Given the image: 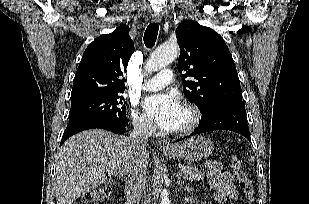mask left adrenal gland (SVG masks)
I'll return each instance as SVG.
<instances>
[{
	"label": "left adrenal gland",
	"mask_w": 309,
	"mask_h": 204,
	"mask_svg": "<svg viewBox=\"0 0 309 204\" xmlns=\"http://www.w3.org/2000/svg\"><path fill=\"white\" fill-rule=\"evenodd\" d=\"M177 183L180 187H182L183 181H181L179 176L177 178ZM185 190H187L188 192L192 191V189L188 185H186Z\"/></svg>",
	"instance_id": "left-adrenal-gland-1"
}]
</instances>
